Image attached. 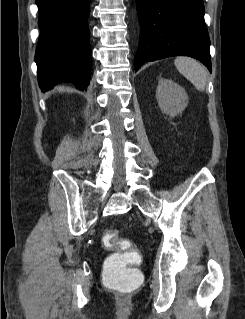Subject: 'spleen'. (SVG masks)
<instances>
[{
	"label": "spleen",
	"mask_w": 245,
	"mask_h": 319,
	"mask_svg": "<svg viewBox=\"0 0 245 319\" xmlns=\"http://www.w3.org/2000/svg\"><path fill=\"white\" fill-rule=\"evenodd\" d=\"M177 70L186 77L198 91H204L207 84L205 67L191 57L180 56L174 61Z\"/></svg>",
	"instance_id": "1"
}]
</instances>
